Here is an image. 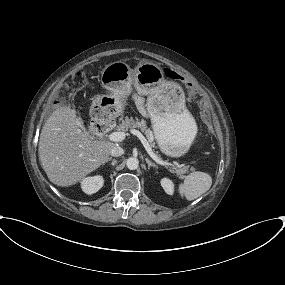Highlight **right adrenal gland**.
I'll use <instances>...</instances> for the list:
<instances>
[{
  "mask_svg": "<svg viewBox=\"0 0 285 285\" xmlns=\"http://www.w3.org/2000/svg\"><path fill=\"white\" fill-rule=\"evenodd\" d=\"M111 160H112V158L110 157V158L107 159V162H108V161H111Z\"/></svg>",
  "mask_w": 285,
  "mask_h": 285,
  "instance_id": "2a0ac1e0",
  "label": "right adrenal gland"
}]
</instances>
